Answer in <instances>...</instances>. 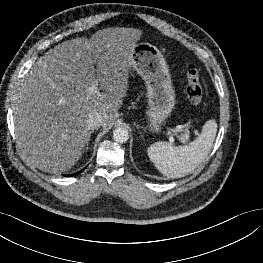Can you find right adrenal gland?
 Segmentation results:
<instances>
[{
	"instance_id": "obj_1",
	"label": "right adrenal gland",
	"mask_w": 263,
	"mask_h": 263,
	"mask_svg": "<svg viewBox=\"0 0 263 263\" xmlns=\"http://www.w3.org/2000/svg\"><path fill=\"white\" fill-rule=\"evenodd\" d=\"M93 132H94L93 130L89 132L88 141H87L86 148H85L86 150H88V145H89L90 137H91V134H92Z\"/></svg>"
}]
</instances>
